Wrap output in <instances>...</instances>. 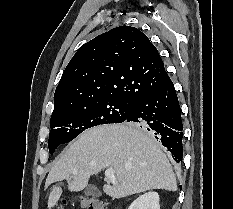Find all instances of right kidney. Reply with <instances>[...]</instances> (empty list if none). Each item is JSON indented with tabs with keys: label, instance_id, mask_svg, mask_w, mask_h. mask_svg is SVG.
I'll return each mask as SVG.
<instances>
[{
	"label": "right kidney",
	"instance_id": "obj_1",
	"mask_svg": "<svg viewBox=\"0 0 233 209\" xmlns=\"http://www.w3.org/2000/svg\"><path fill=\"white\" fill-rule=\"evenodd\" d=\"M128 209H160L157 192H148L139 196Z\"/></svg>",
	"mask_w": 233,
	"mask_h": 209
}]
</instances>
